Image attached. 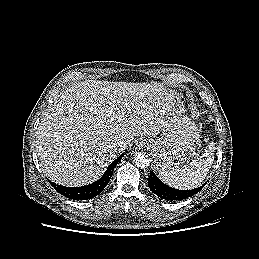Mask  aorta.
Listing matches in <instances>:
<instances>
[{"mask_svg": "<svg viewBox=\"0 0 259 259\" xmlns=\"http://www.w3.org/2000/svg\"><path fill=\"white\" fill-rule=\"evenodd\" d=\"M133 161L135 165L139 168H146L149 166V157L145 152H136L133 155Z\"/></svg>", "mask_w": 259, "mask_h": 259, "instance_id": "aorta-1", "label": "aorta"}]
</instances>
